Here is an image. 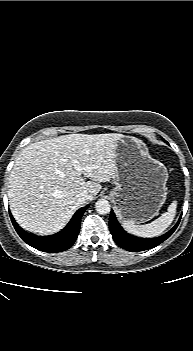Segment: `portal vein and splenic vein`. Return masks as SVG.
<instances>
[{
  "mask_svg": "<svg viewBox=\"0 0 193 351\" xmlns=\"http://www.w3.org/2000/svg\"><path fill=\"white\" fill-rule=\"evenodd\" d=\"M72 162H73V166H74L75 170L80 174L84 170V168H82L79 165L77 160L73 159Z\"/></svg>",
  "mask_w": 193,
  "mask_h": 351,
  "instance_id": "1",
  "label": "portal vein and splenic vein"
}]
</instances>
